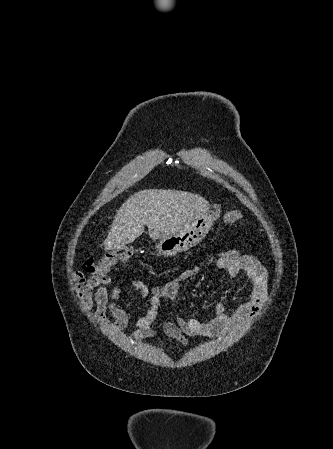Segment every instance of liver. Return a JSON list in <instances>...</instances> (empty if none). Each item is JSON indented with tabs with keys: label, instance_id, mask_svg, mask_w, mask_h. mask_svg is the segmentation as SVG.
Here are the masks:
<instances>
[{
	"label": "liver",
	"instance_id": "liver-1",
	"mask_svg": "<svg viewBox=\"0 0 333 449\" xmlns=\"http://www.w3.org/2000/svg\"><path fill=\"white\" fill-rule=\"evenodd\" d=\"M209 209L203 197L178 190L145 189L130 196L117 211L104 241L105 250L133 242L148 227L152 240L176 233Z\"/></svg>",
	"mask_w": 333,
	"mask_h": 449
}]
</instances>
